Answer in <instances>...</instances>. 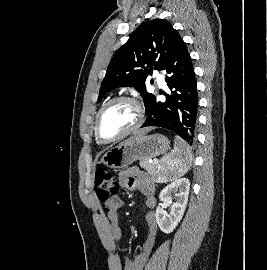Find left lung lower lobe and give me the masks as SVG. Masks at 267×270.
<instances>
[{
  "mask_svg": "<svg viewBox=\"0 0 267 270\" xmlns=\"http://www.w3.org/2000/svg\"><path fill=\"white\" fill-rule=\"evenodd\" d=\"M164 71L171 92L164 103L154 99L141 127L166 128L179 135L190 146L195 143L198 95L191 57L183 40L176 46Z\"/></svg>",
  "mask_w": 267,
  "mask_h": 270,
  "instance_id": "1",
  "label": "left lung lower lobe"
}]
</instances>
